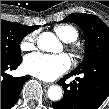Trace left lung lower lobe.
Masks as SVG:
<instances>
[{"mask_svg":"<svg viewBox=\"0 0 109 109\" xmlns=\"http://www.w3.org/2000/svg\"><path fill=\"white\" fill-rule=\"evenodd\" d=\"M77 76L70 84L65 80L70 76ZM64 88V96L58 102H53L54 109H98L109 96V59L95 61L87 67L74 71L59 82ZM79 90V97L69 99L70 91Z\"/></svg>","mask_w":109,"mask_h":109,"instance_id":"1","label":"left lung lower lobe"}]
</instances>
